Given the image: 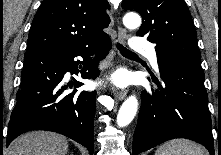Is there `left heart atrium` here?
<instances>
[{"label": "left heart atrium", "instance_id": "obj_1", "mask_svg": "<svg viewBox=\"0 0 221 155\" xmlns=\"http://www.w3.org/2000/svg\"><path fill=\"white\" fill-rule=\"evenodd\" d=\"M112 81L119 86H122L126 82V77L121 73H116L112 76Z\"/></svg>", "mask_w": 221, "mask_h": 155}]
</instances>
